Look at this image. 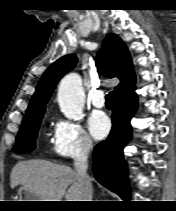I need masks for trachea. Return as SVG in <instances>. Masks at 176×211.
Segmentation results:
<instances>
[{
	"mask_svg": "<svg viewBox=\"0 0 176 211\" xmlns=\"http://www.w3.org/2000/svg\"><path fill=\"white\" fill-rule=\"evenodd\" d=\"M106 102H109V103L113 102V92H110L106 95Z\"/></svg>",
	"mask_w": 176,
	"mask_h": 211,
	"instance_id": "1",
	"label": "trachea"
}]
</instances>
